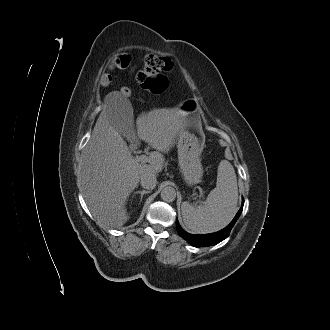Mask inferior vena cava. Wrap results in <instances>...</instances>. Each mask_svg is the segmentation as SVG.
Returning a JSON list of instances; mask_svg holds the SVG:
<instances>
[{"label":"inferior vena cava","mask_w":330,"mask_h":330,"mask_svg":"<svg viewBox=\"0 0 330 330\" xmlns=\"http://www.w3.org/2000/svg\"><path fill=\"white\" fill-rule=\"evenodd\" d=\"M141 186L145 189H154L157 184L156 175L153 173H145L140 179Z\"/></svg>","instance_id":"1"}]
</instances>
